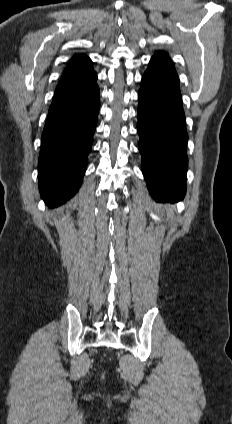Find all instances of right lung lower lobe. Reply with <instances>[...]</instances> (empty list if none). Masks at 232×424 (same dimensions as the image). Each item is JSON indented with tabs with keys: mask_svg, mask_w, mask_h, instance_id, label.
I'll return each mask as SVG.
<instances>
[{
	"mask_svg": "<svg viewBox=\"0 0 232 424\" xmlns=\"http://www.w3.org/2000/svg\"><path fill=\"white\" fill-rule=\"evenodd\" d=\"M96 73L72 77L58 84L42 133L39 189L53 208L79 189L86 170L99 112Z\"/></svg>",
	"mask_w": 232,
	"mask_h": 424,
	"instance_id": "obj_1",
	"label": "right lung lower lobe"
}]
</instances>
